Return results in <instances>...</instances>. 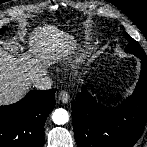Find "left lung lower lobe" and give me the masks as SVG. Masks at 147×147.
<instances>
[{"mask_svg": "<svg viewBox=\"0 0 147 147\" xmlns=\"http://www.w3.org/2000/svg\"><path fill=\"white\" fill-rule=\"evenodd\" d=\"M139 58V81L120 106L105 107L82 87L72 105L78 147H132L138 141L147 122V56Z\"/></svg>", "mask_w": 147, "mask_h": 147, "instance_id": "1", "label": "left lung lower lobe"}]
</instances>
